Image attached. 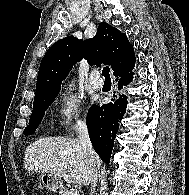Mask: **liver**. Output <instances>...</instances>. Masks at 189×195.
Here are the masks:
<instances>
[{"instance_id":"6515ba94","label":"liver","mask_w":189,"mask_h":195,"mask_svg":"<svg viewBox=\"0 0 189 195\" xmlns=\"http://www.w3.org/2000/svg\"><path fill=\"white\" fill-rule=\"evenodd\" d=\"M97 155L90 157L76 138L44 137L31 143L25 150L24 167L27 171L50 173L70 183L89 185L94 169L100 166Z\"/></svg>"}]
</instances>
